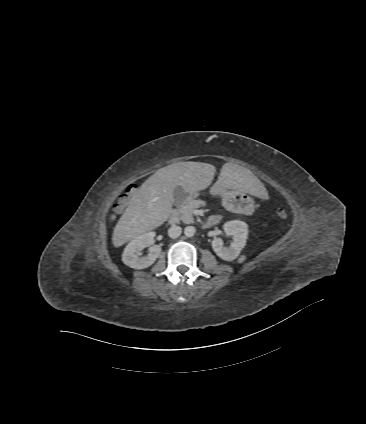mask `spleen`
<instances>
[{"mask_svg":"<svg viewBox=\"0 0 366 424\" xmlns=\"http://www.w3.org/2000/svg\"><path fill=\"white\" fill-rule=\"evenodd\" d=\"M244 259H245V258H244V257H242V258H241V260H240V262H243V261H244Z\"/></svg>","mask_w":366,"mask_h":424,"instance_id":"1","label":"spleen"}]
</instances>
